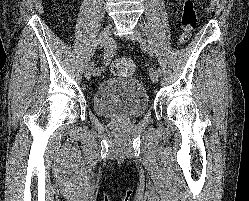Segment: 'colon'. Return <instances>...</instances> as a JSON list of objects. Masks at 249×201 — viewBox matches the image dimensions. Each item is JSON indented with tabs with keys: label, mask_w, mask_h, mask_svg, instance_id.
Segmentation results:
<instances>
[{
	"label": "colon",
	"mask_w": 249,
	"mask_h": 201,
	"mask_svg": "<svg viewBox=\"0 0 249 201\" xmlns=\"http://www.w3.org/2000/svg\"><path fill=\"white\" fill-rule=\"evenodd\" d=\"M181 33L179 44H186L197 26V12L194 0H183L181 8ZM111 72L120 76H131L134 73V62L129 58H118L111 63Z\"/></svg>",
	"instance_id": "obj_1"
}]
</instances>
